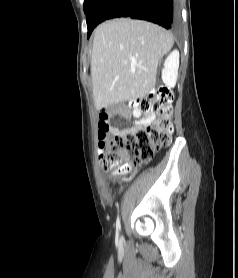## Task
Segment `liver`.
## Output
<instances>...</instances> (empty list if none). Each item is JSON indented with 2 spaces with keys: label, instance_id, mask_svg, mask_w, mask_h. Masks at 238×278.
I'll return each mask as SVG.
<instances>
[{
  "label": "liver",
  "instance_id": "obj_1",
  "mask_svg": "<svg viewBox=\"0 0 238 278\" xmlns=\"http://www.w3.org/2000/svg\"><path fill=\"white\" fill-rule=\"evenodd\" d=\"M162 27L129 18L100 24L94 34L91 77L95 107L142 99L156 84L158 65L173 47Z\"/></svg>",
  "mask_w": 238,
  "mask_h": 278
}]
</instances>
